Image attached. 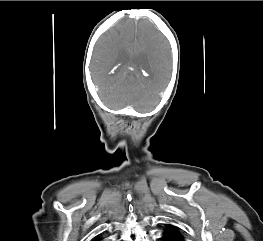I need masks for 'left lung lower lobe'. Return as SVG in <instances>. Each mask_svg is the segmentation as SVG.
I'll return each instance as SVG.
<instances>
[{"instance_id":"1","label":"left lung lower lobe","mask_w":263,"mask_h":241,"mask_svg":"<svg viewBox=\"0 0 263 241\" xmlns=\"http://www.w3.org/2000/svg\"><path fill=\"white\" fill-rule=\"evenodd\" d=\"M162 239L163 241H185L184 238L181 236L179 229L171 224L167 225Z\"/></svg>"}]
</instances>
